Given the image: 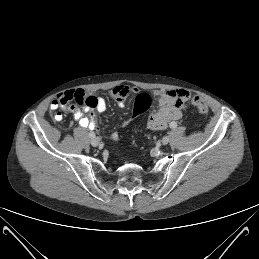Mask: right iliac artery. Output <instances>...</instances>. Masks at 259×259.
<instances>
[{
  "label": "right iliac artery",
  "mask_w": 259,
  "mask_h": 259,
  "mask_svg": "<svg viewBox=\"0 0 259 259\" xmlns=\"http://www.w3.org/2000/svg\"><path fill=\"white\" fill-rule=\"evenodd\" d=\"M89 137H90V138H94V137H95V133H94V132H90V133H89Z\"/></svg>",
  "instance_id": "82829eb1"
}]
</instances>
